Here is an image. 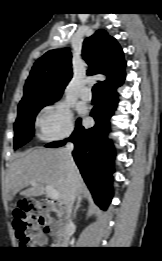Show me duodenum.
<instances>
[{
	"mask_svg": "<svg viewBox=\"0 0 162 261\" xmlns=\"http://www.w3.org/2000/svg\"><path fill=\"white\" fill-rule=\"evenodd\" d=\"M43 227L46 233L54 235L53 243L57 247H63L66 244L67 238L71 229L69 227L64 228V226L51 217L45 215V221L43 222Z\"/></svg>",
	"mask_w": 162,
	"mask_h": 261,
	"instance_id": "duodenum-1",
	"label": "duodenum"
}]
</instances>
